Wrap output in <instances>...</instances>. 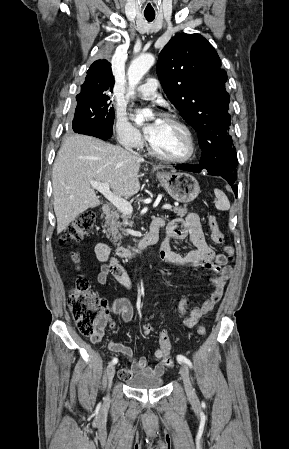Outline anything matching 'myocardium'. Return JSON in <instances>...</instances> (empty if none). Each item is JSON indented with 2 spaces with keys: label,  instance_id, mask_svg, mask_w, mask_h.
<instances>
[{
  "label": "myocardium",
  "instance_id": "1",
  "mask_svg": "<svg viewBox=\"0 0 289 449\" xmlns=\"http://www.w3.org/2000/svg\"><path fill=\"white\" fill-rule=\"evenodd\" d=\"M161 119H163L167 122H170L183 130V132L185 133L187 140H188L189 150L186 155L181 156V157L166 156V155H163V154L159 153L158 151H156L148 139L147 140L148 152L152 156H154L160 160L166 161V162L185 163V162L192 160L196 155L197 148H196L195 137H194V134H193L192 130L190 129V127L185 122H183L181 119H179L178 117L171 115V114H164V115H162Z\"/></svg>",
  "mask_w": 289,
  "mask_h": 449
}]
</instances>
